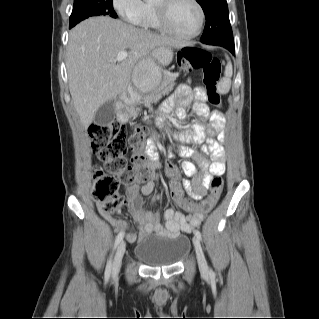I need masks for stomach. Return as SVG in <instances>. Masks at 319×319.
<instances>
[{
	"label": "stomach",
	"instance_id": "0dacf381",
	"mask_svg": "<svg viewBox=\"0 0 319 319\" xmlns=\"http://www.w3.org/2000/svg\"><path fill=\"white\" fill-rule=\"evenodd\" d=\"M173 50L170 46L157 47L152 55L139 62L132 75L133 83L142 94H148L162 81V68L170 64Z\"/></svg>",
	"mask_w": 319,
	"mask_h": 319
}]
</instances>
